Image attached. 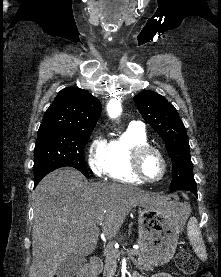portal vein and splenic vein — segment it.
<instances>
[{
	"mask_svg": "<svg viewBox=\"0 0 221 277\" xmlns=\"http://www.w3.org/2000/svg\"><path fill=\"white\" fill-rule=\"evenodd\" d=\"M103 220H104V216H100V217L96 220V223H97V224H102Z\"/></svg>",
	"mask_w": 221,
	"mask_h": 277,
	"instance_id": "1",
	"label": "portal vein and splenic vein"
}]
</instances>
